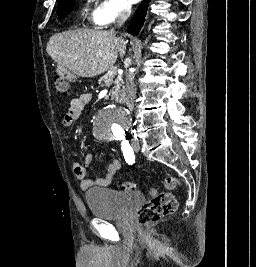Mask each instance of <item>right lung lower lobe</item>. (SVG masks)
I'll return each mask as SVG.
<instances>
[{
  "label": "right lung lower lobe",
  "instance_id": "right-lung-lower-lobe-1",
  "mask_svg": "<svg viewBox=\"0 0 256 267\" xmlns=\"http://www.w3.org/2000/svg\"><path fill=\"white\" fill-rule=\"evenodd\" d=\"M150 0H144L143 2H141V4L139 5V7L137 8L132 21H131V25L129 28V32L132 35H137L144 23V19L146 16V11H147V7L149 4Z\"/></svg>",
  "mask_w": 256,
  "mask_h": 267
}]
</instances>
